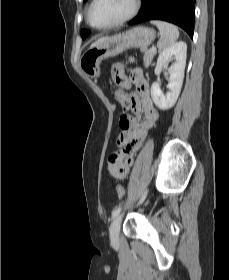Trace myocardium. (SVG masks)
<instances>
[{"instance_id":"1","label":"myocardium","mask_w":229,"mask_h":280,"mask_svg":"<svg viewBox=\"0 0 229 280\" xmlns=\"http://www.w3.org/2000/svg\"><path fill=\"white\" fill-rule=\"evenodd\" d=\"M97 0H92L89 8H88V11H87V21L89 23V25L95 29H98V30H103V29H108V28H112V27H116V26H119V25H122L128 21H130L131 19H133L137 13L139 12L140 10V0H132V8L130 10V12L125 15L124 17L114 21V22H111L109 24H106V25H103V26H96L92 23L91 21V13H92V9L94 7V5L96 4Z\"/></svg>"}]
</instances>
